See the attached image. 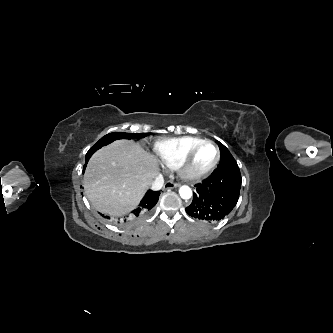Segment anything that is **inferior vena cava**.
<instances>
[{"mask_svg": "<svg viewBox=\"0 0 333 333\" xmlns=\"http://www.w3.org/2000/svg\"><path fill=\"white\" fill-rule=\"evenodd\" d=\"M164 184V178L161 174L156 176L155 180L151 183V189L158 191L163 187Z\"/></svg>", "mask_w": 333, "mask_h": 333, "instance_id": "602c4592", "label": "inferior vena cava"}]
</instances>
